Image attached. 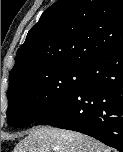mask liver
I'll return each mask as SVG.
<instances>
[{
	"label": "liver",
	"mask_w": 123,
	"mask_h": 152,
	"mask_svg": "<svg viewBox=\"0 0 123 152\" xmlns=\"http://www.w3.org/2000/svg\"><path fill=\"white\" fill-rule=\"evenodd\" d=\"M111 149L96 139L79 132L48 126L28 132L13 152H110Z\"/></svg>",
	"instance_id": "6515ba94"
}]
</instances>
